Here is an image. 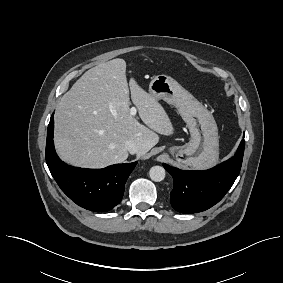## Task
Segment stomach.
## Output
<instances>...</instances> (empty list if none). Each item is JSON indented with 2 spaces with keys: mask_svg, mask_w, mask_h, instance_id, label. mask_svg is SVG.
<instances>
[{
  "mask_svg": "<svg viewBox=\"0 0 283 283\" xmlns=\"http://www.w3.org/2000/svg\"><path fill=\"white\" fill-rule=\"evenodd\" d=\"M149 94L156 100L174 105L189 129L191 138L187 144L169 148L175 160L195 169L213 166L219 157V135L211 112L176 80L165 74L151 80Z\"/></svg>",
  "mask_w": 283,
  "mask_h": 283,
  "instance_id": "0dacf381",
  "label": "stomach"
}]
</instances>
